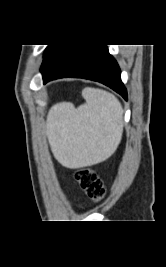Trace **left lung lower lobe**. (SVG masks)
<instances>
[{"mask_svg": "<svg viewBox=\"0 0 166 267\" xmlns=\"http://www.w3.org/2000/svg\"><path fill=\"white\" fill-rule=\"evenodd\" d=\"M41 73L44 84L64 77L84 78L107 85L127 100L120 68L106 45H55L44 57Z\"/></svg>", "mask_w": 166, "mask_h": 267, "instance_id": "1", "label": "left lung lower lobe"}]
</instances>
